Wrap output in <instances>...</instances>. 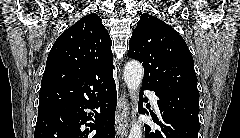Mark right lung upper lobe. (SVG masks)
Listing matches in <instances>:
<instances>
[{"instance_id":"obj_1","label":"right lung upper lobe","mask_w":240,"mask_h":138,"mask_svg":"<svg viewBox=\"0 0 240 138\" xmlns=\"http://www.w3.org/2000/svg\"><path fill=\"white\" fill-rule=\"evenodd\" d=\"M111 45L97 14L66 29L48 55L38 113L87 98L113 80Z\"/></svg>"}]
</instances>
